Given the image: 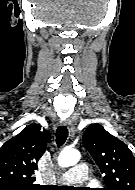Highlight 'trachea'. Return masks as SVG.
<instances>
[{
    "label": "trachea",
    "mask_w": 135,
    "mask_h": 190,
    "mask_svg": "<svg viewBox=\"0 0 135 190\" xmlns=\"http://www.w3.org/2000/svg\"><path fill=\"white\" fill-rule=\"evenodd\" d=\"M68 137V129L65 126L59 127L56 130V143L58 147H61Z\"/></svg>",
    "instance_id": "trachea-1"
}]
</instances>
